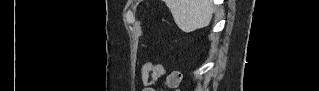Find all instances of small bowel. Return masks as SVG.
Masks as SVG:
<instances>
[{"instance_id":"c3829d8e","label":"small bowel","mask_w":319,"mask_h":91,"mask_svg":"<svg viewBox=\"0 0 319 91\" xmlns=\"http://www.w3.org/2000/svg\"><path fill=\"white\" fill-rule=\"evenodd\" d=\"M164 67L151 62L145 63L142 69V79L144 83L150 84L153 80L164 74ZM180 75L177 72L171 74L169 84L175 86L179 83Z\"/></svg>"}]
</instances>
